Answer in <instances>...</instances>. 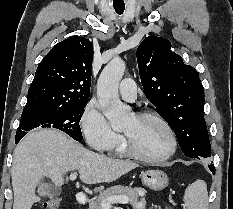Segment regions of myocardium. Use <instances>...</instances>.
<instances>
[{"label": "myocardium", "instance_id": "1", "mask_svg": "<svg viewBox=\"0 0 233 209\" xmlns=\"http://www.w3.org/2000/svg\"><path fill=\"white\" fill-rule=\"evenodd\" d=\"M135 116L139 119L152 118V119L157 120L159 123H161L162 126L165 128V130L168 133L170 144H169L168 150L163 155L157 156V157H148V156L141 154L134 147V145H133V143L128 135L123 134V145H124L126 153L130 157H132L138 161H141L144 163H149V164H158V163H162V162H165L168 159H170L176 151L177 139H176L175 132H174L172 126L169 124V122L163 116H161L159 113L152 111V110L140 111V112L136 113Z\"/></svg>", "mask_w": 233, "mask_h": 209}]
</instances>
